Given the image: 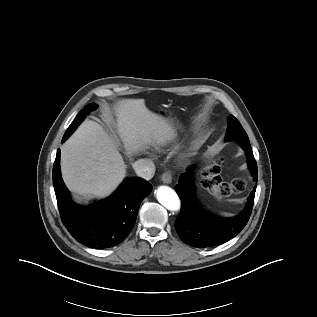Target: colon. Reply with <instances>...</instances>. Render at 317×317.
I'll return each instance as SVG.
<instances>
[{"instance_id": "5ec220e1", "label": "colon", "mask_w": 317, "mask_h": 317, "mask_svg": "<svg viewBox=\"0 0 317 317\" xmlns=\"http://www.w3.org/2000/svg\"><path fill=\"white\" fill-rule=\"evenodd\" d=\"M221 164L222 161L218 159L205 168L202 181L204 188L218 198H225L231 194L242 192L246 186L245 180L238 178L229 183L223 182L219 175Z\"/></svg>"}]
</instances>
